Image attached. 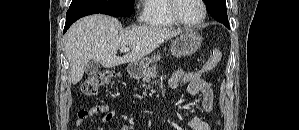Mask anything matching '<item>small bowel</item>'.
I'll return each mask as SVG.
<instances>
[{
	"instance_id": "c3829d8e",
	"label": "small bowel",
	"mask_w": 299,
	"mask_h": 130,
	"mask_svg": "<svg viewBox=\"0 0 299 130\" xmlns=\"http://www.w3.org/2000/svg\"><path fill=\"white\" fill-rule=\"evenodd\" d=\"M184 74V71L182 69H178L171 77L170 79V85L173 88H177L179 85V82ZM186 92L189 96H195L197 94H200L202 97L201 103L202 107L206 112H211L213 110V87L212 83L207 78H202L199 81L192 83L187 86ZM97 114H103L102 122L103 123H109L112 121L116 115L115 111L110 110L108 105L101 104L96 105L92 107L89 112L88 116L92 117ZM222 121L219 119L215 122L214 125H211L210 123L202 120L198 116H193L189 122L188 125L192 130H215V128H218L221 126ZM134 125H124L119 130H134Z\"/></svg>"
}]
</instances>
